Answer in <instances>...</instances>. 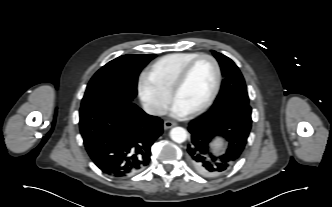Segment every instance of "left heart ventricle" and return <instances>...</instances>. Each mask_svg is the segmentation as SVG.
<instances>
[{
	"mask_svg": "<svg viewBox=\"0 0 332 207\" xmlns=\"http://www.w3.org/2000/svg\"><path fill=\"white\" fill-rule=\"evenodd\" d=\"M215 68L208 59L199 60L191 69L174 102L188 112L201 106L210 96L215 84Z\"/></svg>",
	"mask_w": 332,
	"mask_h": 207,
	"instance_id": "obj_1",
	"label": "left heart ventricle"
}]
</instances>
